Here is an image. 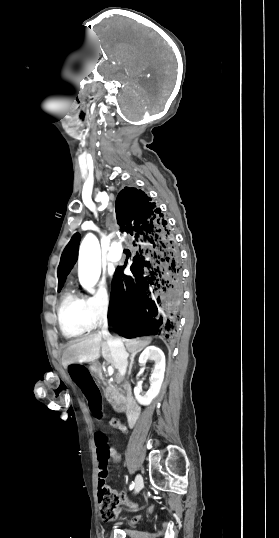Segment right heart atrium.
I'll list each match as a JSON object with an SVG mask.
<instances>
[{
  "instance_id": "right-heart-atrium-1",
  "label": "right heart atrium",
  "mask_w": 279,
  "mask_h": 538,
  "mask_svg": "<svg viewBox=\"0 0 279 538\" xmlns=\"http://www.w3.org/2000/svg\"><path fill=\"white\" fill-rule=\"evenodd\" d=\"M113 309V299L106 288L99 289L87 297V315L92 328L108 320Z\"/></svg>"
}]
</instances>
